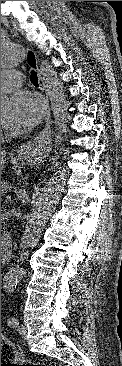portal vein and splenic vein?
I'll return each mask as SVG.
<instances>
[{
	"instance_id": "1",
	"label": "portal vein and splenic vein",
	"mask_w": 122,
	"mask_h": 366,
	"mask_svg": "<svg viewBox=\"0 0 122 366\" xmlns=\"http://www.w3.org/2000/svg\"><path fill=\"white\" fill-rule=\"evenodd\" d=\"M9 199H11V196H9V195L6 196V200H9Z\"/></svg>"
}]
</instances>
